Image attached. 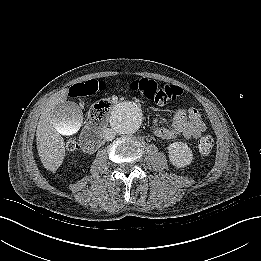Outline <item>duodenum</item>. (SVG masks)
<instances>
[{
	"mask_svg": "<svg viewBox=\"0 0 261 261\" xmlns=\"http://www.w3.org/2000/svg\"><path fill=\"white\" fill-rule=\"evenodd\" d=\"M102 143L100 132L92 129L86 130L81 137L80 146L86 153H93Z\"/></svg>",
	"mask_w": 261,
	"mask_h": 261,
	"instance_id": "1",
	"label": "duodenum"
}]
</instances>
